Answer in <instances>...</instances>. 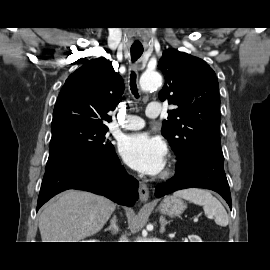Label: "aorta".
Masks as SVG:
<instances>
[{
  "instance_id": "obj_1",
  "label": "aorta",
  "mask_w": 270,
  "mask_h": 270,
  "mask_svg": "<svg viewBox=\"0 0 270 270\" xmlns=\"http://www.w3.org/2000/svg\"><path fill=\"white\" fill-rule=\"evenodd\" d=\"M162 85V77L156 72H146L140 78V87L142 91L157 89Z\"/></svg>"
}]
</instances>
